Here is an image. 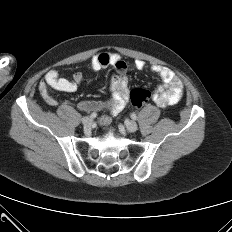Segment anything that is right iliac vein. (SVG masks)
<instances>
[{
	"mask_svg": "<svg viewBox=\"0 0 232 232\" xmlns=\"http://www.w3.org/2000/svg\"><path fill=\"white\" fill-rule=\"evenodd\" d=\"M81 121L85 128H89L92 124V119L89 117H83Z\"/></svg>",
	"mask_w": 232,
	"mask_h": 232,
	"instance_id": "63e3f726",
	"label": "right iliac vein"
}]
</instances>
